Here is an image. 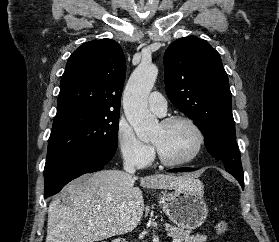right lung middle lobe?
Returning <instances> with one entry per match:
<instances>
[{
  "instance_id": "right-lung-middle-lobe-1",
  "label": "right lung middle lobe",
  "mask_w": 279,
  "mask_h": 242,
  "mask_svg": "<svg viewBox=\"0 0 279 242\" xmlns=\"http://www.w3.org/2000/svg\"><path fill=\"white\" fill-rule=\"evenodd\" d=\"M118 121L119 113L88 109L56 114L45 167L82 152H116Z\"/></svg>"
}]
</instances>
